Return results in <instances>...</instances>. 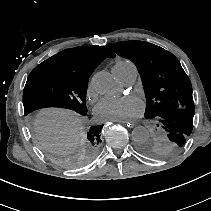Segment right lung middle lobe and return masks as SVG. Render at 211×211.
Instances as JSON below:
<instances>
[{"label":"right lung middle lobe","instance_id":"dd1d6c3e","mask_svg":"<svg viewBox=\"0 0 211 211\" xmlns=\"http://www.w3.org/2000/svg\"><path fill=\"white\" fill-rule=\"evenodd\" d=\"M87 75L72 71L57 70L37 66L30 73L23 92L24 114L31 121L40 118L37 110L47 107H60L76 111L81 115L87 114L85 106ZM103 125H93L87 130L88 147L80 157L60 155L47 146L43 150L56 164L74 168L92 162L100 149V133Z\"/></svg>","mask_w":211,"mask_h":211}]
</instances>
